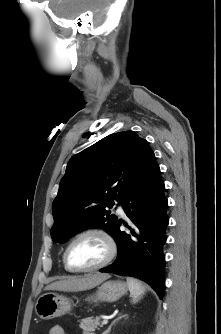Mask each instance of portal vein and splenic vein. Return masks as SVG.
<instances>
[{"label": "portal vein and splenic vein", "mask_w": 221, "mask_h": 334, "mask_svg": "<svg viewBox=\"0 0 221 334\" xmlns=\"http://www.w3.org/2000/svg\"><path fill=\"white\" fill-rule=\"evenodd\" d=\"M108 323V320L107 319H104L103 321H102V324L103 325H105V324H107Z\"/></svg>", "instance_id": "obj_1"}]
</instances>
